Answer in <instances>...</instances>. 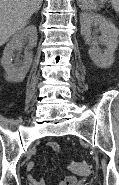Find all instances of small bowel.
I'll return each mask as SVG.
<instances>
[{
  "label": "small bowel",
  "instance_id": "small-bowel-1",
  "mask_svg": "<svg viewBox=\"0 0 119 185\" xmlns=\"http://www.w3.org/2000/svg\"><path fill=\"white\" fill-rule=\"evenodd\" d=\"M48 145L52 149H54L56 151H59V146L55 142H50ZM33 167H34V163H30L27 166V169L30 171V170L33 169ZM29 180H30L32 185H46L44 180L34 176L33 174L29 175ZM75 183H76V178L74 176H67L65 178V180H63L59 183V185H74Z\"/></svg>",
  "mask_w": 119,
  "mask_h": 185
}]
</instances>
